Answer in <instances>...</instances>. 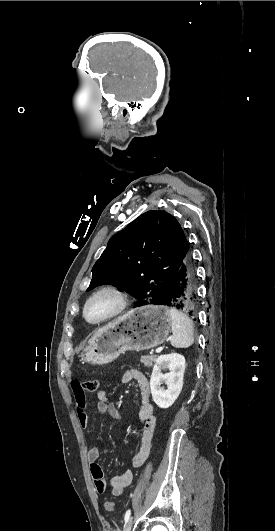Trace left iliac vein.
<instances>
[{"label": "left iliac vein", "instance_id": "4c4485c4", "mask_svg": "<svg viewBox=\"0 0 275 531\" xmlns=\"http://www.w3.org/2000/svg\"><path fill=\"white\" fill-rule=\"evenodd\" d=\"M132 526H133V520L132 518L128 520V522L126 523L123 531H131L132 529Z\"/></svg>", "mask_w": 275, "mask_h": 531}]
</instances>
